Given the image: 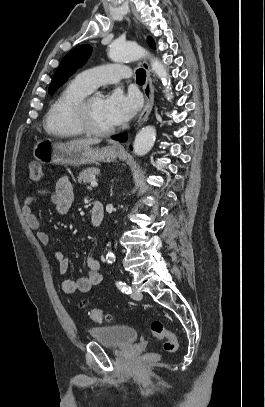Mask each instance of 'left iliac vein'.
<instances>
[{"label":"left iliac vein","mask_w":265,"mask_h":407,"mask_svg":"<svg viewBox=\"0 0 265 407\" xmlns=\"http://www.w3.org/2000/svg\"><path fill=\"white\" fill-rule=\"evenodd\" d=\"M131 297L134 300H141L142 299V293L139 290H137L135 287H133Z\"/></svg>","instance_id":"left-iliac-vein-1"}]
</instances>
